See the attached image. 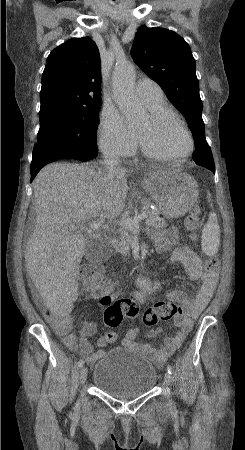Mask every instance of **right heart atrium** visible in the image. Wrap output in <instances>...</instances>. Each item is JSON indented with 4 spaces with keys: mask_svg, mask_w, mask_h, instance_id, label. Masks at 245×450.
<instances>
[{
    "mask_svg": "<svg viewBox=\"0 0 245 450\" xmlns=\"http://www.w3.org/2000/svg\"><path fill=\"white\" fill-rule=\"evenodd\" d=\"M98 144L109 156L126 157L136 151L138 139L118 112L104 110L98 129Z\"/></svg>",
    "mask_w": 245,
    "mask_h": 450,
    "instance_id": "1",
    "label": "right heart atrium"
}]
</instances>
